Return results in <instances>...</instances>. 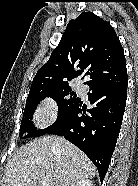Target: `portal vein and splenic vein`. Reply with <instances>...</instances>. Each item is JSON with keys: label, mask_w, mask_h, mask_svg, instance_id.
I'll return each mask as SVG.
<instances>
[{"label": "portal vein and splenic vein", "mask_w": 138, "mask_h": 186, "mask_svg": "<svg viewBox=\"0 0 138 186\" xmlns=\"http://www.w3.org/2000/svg\"><path fill=\"white\" fill-rule=\"evenodd\" d=\"M40 186H48V185L46 183H44V182H41Z\"/></svg>", "instance_id": "obj_1"}]
</instances>
